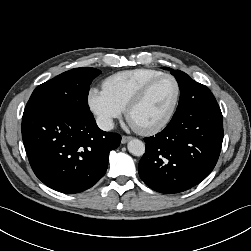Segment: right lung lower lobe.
I'll list each match as a JSON object with an SVG mask.
<instances>
[{
    "instance_id": "obj_1",
    "label": "right lung lower lobe",
    "mask_w": 251,
    "mask_h": 251,
    "mask_svg": "<svg viewBox=\"0 0 251 251\" xmlns=\"http://www.w3.org/2000/svg\"><path fill=\"white\" fill-rule=\"evenodd\" d=\"M22 137L35 175L62 193H78L92 187L108 167L109 152L121 142L117 133L98 128L87 115L39 102L27 103Z\"/></svg>"
}]
</instances>
